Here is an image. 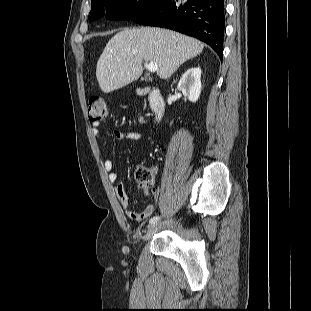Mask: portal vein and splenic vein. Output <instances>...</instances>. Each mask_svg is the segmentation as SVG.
<instances>
[{"instance_id":"18ae733b","label":"portal vein and splenic vein","mask_w":311,"mask_h":311,"mask_svg":"<svg viewBox=\"0 0 311 311\" xmlns=\"http://www.w3.org/2000/svg\"><path fill=\"white\" fill-rule=\"evenodd\" d=\"M144 67L146 68V69H148V71H150V72H156L157 71V69H158V66H157V64L156 63H154V62H150V63H144Z\"/></svg>"}]
</instances>
